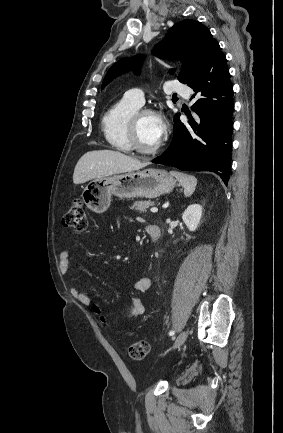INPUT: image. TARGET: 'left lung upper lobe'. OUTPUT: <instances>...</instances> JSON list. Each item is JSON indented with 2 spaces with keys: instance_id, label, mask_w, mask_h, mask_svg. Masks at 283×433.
<instances>
[{
  "instance_id": "5c2ea615",
  "label": "left lung upper lobe",
  "mask_w": 283,
  "mask_h": 433,
  "mask_svg": "<svg viewBox=\"0 0 283 433\" xmlns=\"http://www.w3.org/2000/svg\"><path fill=\"white\" fill-rule=\"evenodd\" d=\"M215 43L217 41L204 25L186 19L174 24L168 30L165 38L155 46L154 53L161 58L181 61L183 70L178 74V80L185 84L191 77L197 63ZM140 61L141 57L135 56L123 58L116 62L107 72L102 88L127 69L135 68L137 71L136 67Z\"/></svg>"
}]
</instances>
